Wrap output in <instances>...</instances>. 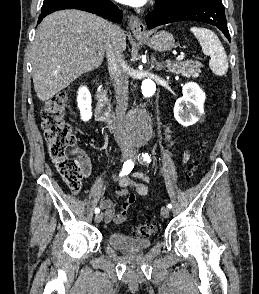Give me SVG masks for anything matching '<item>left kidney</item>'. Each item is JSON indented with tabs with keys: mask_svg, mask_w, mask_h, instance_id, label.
Returning <instances> with one entry per match:
<instances>
[{
	"mask_svg": "<svg viewBox=\"0 0 259 294\" xmlns=\"http://www.w3.org/2000/svg\"><path fill=\"white\" fill-rule=\"evenodd\" d=\"M183 96L174 106V117L185 127L198 122L204 114L205 93L194 82L186 83L182 88Z\"/></svg>",
	"mask_w": 259,
	"mask_h": 294,
	"instance_id": "5707ae66",
	"label": "left kidney"
}]
</instances>
